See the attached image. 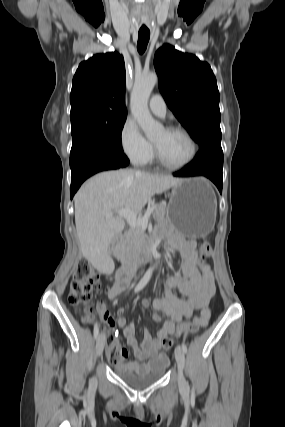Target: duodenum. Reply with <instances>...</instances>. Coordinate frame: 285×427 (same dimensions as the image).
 <instances>
[{"mask_svg": "<svg viewBox=\"0 0 285 427\" xmlns=\"http://www.w3.org/2000/svg\"><path fill=\"white\" fill-rule=\"evenodd\" d=\"M159 240L160 235L153 233L137 247L132 255L129 257L121 255L122 264L116 272V278L125 282L129 281L135 271L136 265L150 259L155 254V248Z\"/></svg>", "mask_w": 285, "mask_h": 427, "instance_id": "410a0bca", "label": "duodenum"}]
</instances>
